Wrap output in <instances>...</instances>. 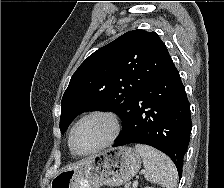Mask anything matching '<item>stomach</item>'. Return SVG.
Wrapping results in <instances>:
<instances>
[{"mask_svg":"<svg viewBox=\"0 0 224 188\" xmlns=\"http://www.w3.org/2000/svg\"><path fill=\"white\" fill-rule=\"evenodd\" d=\"M140 166V154L133 148H110L96 154L84 165L59 172L52 179L49 188L120 186L134 177Z\"/></svg>","mask_w":224,"mask_h":188,"instance_id":"1","label":"stomach"}]
</instances>
